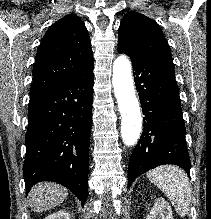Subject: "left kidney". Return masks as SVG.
<instances>
[{"label":"left kidney","instance_id":"5707ae66","mask_svg":"<svg viewBox=\"0 0 211 219\" xmlns=\"http://www.w3.org/2000/svg\"><path fill=\"white\" fill-rule=\"evenodd\" d=\"M146 219H173L171 206L163 198H159Z\"/></svg>","mask_w":211,"mask_h":219}]
</instances>
